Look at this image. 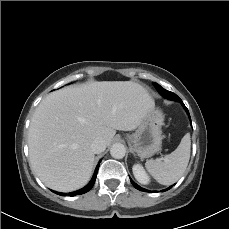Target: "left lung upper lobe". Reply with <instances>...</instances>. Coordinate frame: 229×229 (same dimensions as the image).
<instances>
[{"instance_id":"left-lung-upper-lobe-1","label":"left lung upper lobe","mask_w":229,"mask_h":229,"mask_svg":"<svg viewBox=\"0 0 229 229\" xmlns=\"http://www.w3.org/2000/svg\"><path fill=\"white\" fill-rule=\"evenodd\" d=\"M153 85L155 86V88L161 93L162 96L171 99V100H177L176 98L178 97L176 94H174L173 92L167 91L164 88H162L159 84L157 83H153Z\"/></svg>"}]
</instances>
